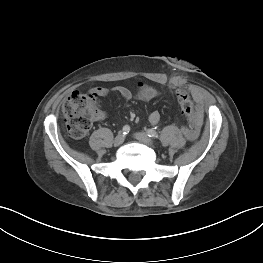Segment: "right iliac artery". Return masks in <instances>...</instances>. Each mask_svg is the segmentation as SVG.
Listing matches in <instances>:
<instances>
[{
    "instance_id": "1",
    "label": "right iliac artery",
    "mask_w": 263,
    "mask_h": 263,
    "mask_svg": "<svg viewBox=\"0 0 263 263\" xmlns=\"http://www.w3.org/2000/svg\"><path fill=\"white\" fill-rule=\"evenodd\" d=\"M129 132H130V126L125 125V126L123 127V129H122V133H123L124 135H126V134H128Z\"/></svg>"
}]
</instances>
